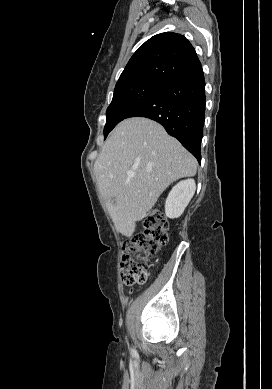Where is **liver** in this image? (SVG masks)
<instances>
[{
  "label": "liver",
  "instance_id": "liver-1",
  "mask_svg": "<svg viewBox=\"0 0 272 389\" xmlns=\"http://www.w3.org/2000/svg\"><path fill=\"white\" fill-rule=\"evenodd\" d=\"M94 172L116 230L131 237L171 183L196 174L197 161L160 124L133 117L111 132Z\"/></svg>",
  "mask_w": 272,
  "mask_h": 389
}]
</instances>
